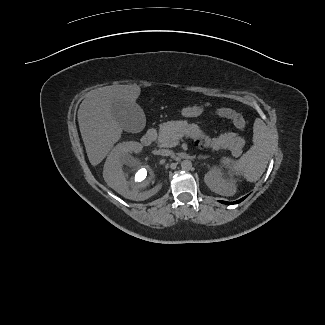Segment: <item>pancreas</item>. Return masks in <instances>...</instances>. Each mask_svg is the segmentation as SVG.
I'll use <instances>...</instances> for the list:
<instances>
[{"label": "pancreas", "instance_id": "obj_1", "mask_svg": "<svg viewBox=\"0 0 325 325\" xmlns=\"http://www.w3.org/2000/svg\"><path fill=\"white\" fill-rule=\"evenodd\" d=\"M184 135L191 138L203 137L213 150L228 149L235 157L242 154L245 145V140L233 132L211 139L196 124H188L187 121H169L160 125L158 146L174 147L179 144V139Z\"/></svg>", "mask_w": 325, "mask_h": 325}]
</instances>
